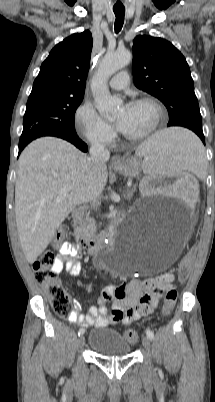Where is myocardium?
I'll list each match as a JSON object with an SVG mask.
<instances>
[{
    "mask_svg": "<svg viewBox=\"0 0 215 402\" xmlns=\"http://www.w3.org/2000/svg\"><path fill=\"white\" fill-rule=\"evenodd\" d=\"M139 104H148L152 107L154 112V119L152 125L143 133L136 134V135H128L124 133V137L130 141H141L150 137L160 126L162 117H163V108L161 104L152 97L144 96L133 99L129 106L139 105Z\"/></svg>",
    "mask_w": 215,
    "mask_h": 402,
    "instance_id": "1",
    "label": "myocardium"
}]
</instances>
